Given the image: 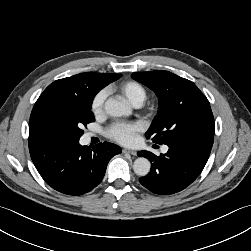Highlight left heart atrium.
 <instances>
[{
  "label": "left heart atrium",
  "instance_id": "obj_1",
  "mask_svg": "<svg viewBox=\"0 0 251 251\" xmlns=\"http://www.w3.org/2000/svg\"><path fill=\"white\" fill-rule=\"evenodd\" d=\"M142 129V124L138 122H116L108 128L107 135L121 144H131Z\"/></svg>",
  "mask_w": 251,
  "mask_h": 251
}]
</instances>
